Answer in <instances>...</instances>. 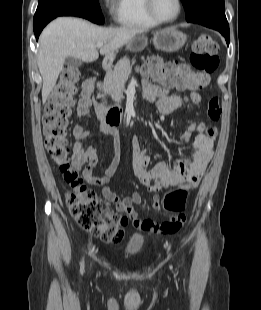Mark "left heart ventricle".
<instances>
[{
  "label": "left heart ventricle",
  "mask_w": 261,
  "mask_h": 310,
  "mask_svg": "<svg viewBox=\"0 0 261 310\" xmlns=\"http://www.w3.org/2000/svg\"><path fill=\"white\" fill-rule=\"evenodd\" d=\"M154 9L161 18L170 19L177 12V2L176 0H154Z\"/></svg>",
  "instance_id": "left-heart-ventricle-1"
}]
</instances>
